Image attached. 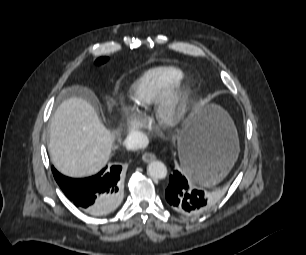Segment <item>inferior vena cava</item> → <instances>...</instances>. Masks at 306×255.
Here are the masks:
<instances>
[{"label":"inferior vena cava","instance_id":"602c4592","mask_svg":"<svg viewBox=\"0 0 306 255\" xmlns=\"http://www.w3.org/2000/svg\"><path fill=\"white\" fill-rule=\"evenodd\" d=\"M148 142V138L144 133L134 131L127 136L125 146L128 150H139L145 148Z\"/></svg>","mask_w":306,"mask_h":255}]
</instances>
